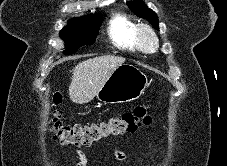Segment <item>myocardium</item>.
Instances as JSON below:
<instances>
[{
    "mask_svg": "<svg viewBox=\"0 0 227 166\" xmlns=\"http://www.w3.org/2000/svg\"><path fill=\"white\" fill-rule=\"evenodd\" d=\"M135 40L141 51L149 53L159 46V39L154 29L148 24H140L136 28Z\"/></svg>",
    "mask_w": 227,
    "mask_h": 166,
    "instance_id": "obj_1",
    "label": "myocardium"
}]
</instances>
